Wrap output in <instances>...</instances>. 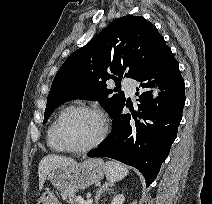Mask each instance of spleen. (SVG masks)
Wrapping results in <instances>:
<instances>
[{
    "label": "spleen",
    "mask_w": 212,
    "mask_h": 204,
    "mask_svg": "<svg viewBox=\"0 0 212 204\" xmlns=\"http://www.w3.org/2000/svg\"><path fill=\"white\" fill-rule=\"evenodd\" d=\"M106 178L110 184L122 180L129 173L126 166L114 161H107L105 164Z\"/></svg>",
    "instance_id": "3e777b00"
}]
</instances>
